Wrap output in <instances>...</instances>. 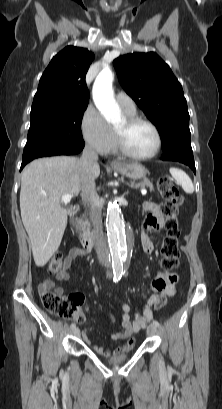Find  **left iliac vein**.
Returning <instances> with one entry per match:
<instances>
[{
  "mask_svg": "<svg viewBox=\"0 0 222 409\" xmlns=\"http://www.w3.org/2000/svg\"><path fill=\"white\" fill-rule=\"evenodd\" d=\"M157 333V327L153 324H150L147 328V334L153 336Z\"/></svg>",
  "mask_w": 222,
  "mask_h": 409,
  "instance_id": "4c4485c4",
  "label": "left iliac vein"
}]
</instances>
